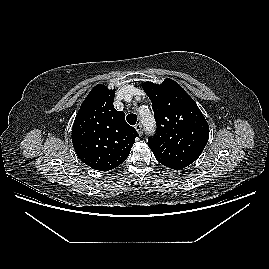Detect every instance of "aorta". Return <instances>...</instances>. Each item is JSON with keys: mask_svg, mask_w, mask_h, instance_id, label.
I'll return each instance as SVG.
<instances>
[{"mask_svg": "<svg viewBox=\"0 0 269 269\" xmlns=\"http://www.w3.org/2000/svg\"><path fill=\"white\" fill-rule=\"evenodd\" d=\"M142 121L146 130L150 131L155 126L154 117L150 113L142 114Z\"/></svg>", "mask_w": 269, "mask_h": 269, "instance_id": "obj_1", "label": "aorta"}]
</instances>
